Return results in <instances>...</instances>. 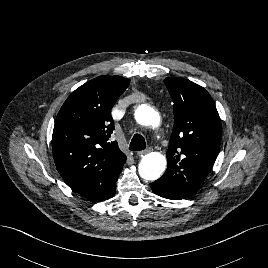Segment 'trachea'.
<instances>
[{
	"label": "trachea",
	"instance_id": "3493384b",
	"mask_svg": "<svg viewBox=\"0 0 268 268\" xmlns=\"http://www.w3.org/2000/svg\"><path fill=\"white\" fill-rule=\"evenodd\" d=\"M146 148V142L141 134L136 133L130 143L129 149L132 151H141Z\"/></svg>",
	"mask_w": 268,
	"mask_h": 268
}]
</instances>
